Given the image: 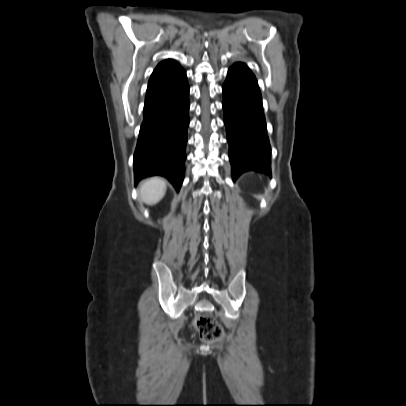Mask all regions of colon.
Instances as JSON below:
<instances>
[{"mask_svg":"<svg viewBox=\"0 0 406 406\" xmlns=\"http://www.w3.org/2000/svg\"><path fill=\"white\" fill-rule=\"evenodd\" d=\"M194 325L199 336L208 342L220 339L224 335L222 326L209 313L199 314Z\"/></svg>","mask_w":406,"mask_h":406,"instance_id":"5ec220e1","label":"colon"}]
</instances>
